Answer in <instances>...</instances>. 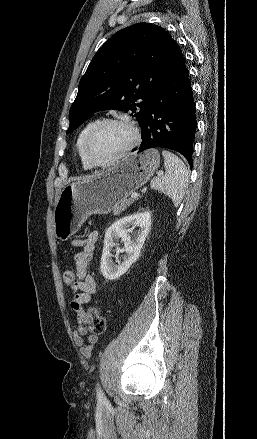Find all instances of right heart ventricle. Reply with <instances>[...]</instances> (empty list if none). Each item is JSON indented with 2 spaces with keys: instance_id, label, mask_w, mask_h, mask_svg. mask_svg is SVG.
Masks as SVG:
<instances>
[{
  "instance_id": "obj_1",
  "label": "right heart ventricle",
  "mask_w": 257,
  "mask_h": 439,
  "mask_svg": "<svg viewBox=\"0 0 257 439\" xmlns=\"http://www.w3.org/2000/svg\"><path fill=\"white\" fill-rule=\"evenodd\" d=\"M96 124L95 121H91L89 123H87L79 132L78 137H77V141H76V148L78 151V155L79 158L81 160L82 166L84 169L89 170L91 169V166L89 165V163L87 162V160L84 157L83 154V144H84V140L86 135L88 134V132L90 131V129Z\"/></svg>"
}]
</instances>
